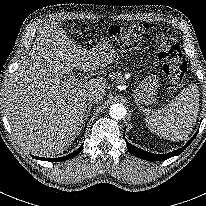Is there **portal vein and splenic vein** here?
I'll return each mask as SVG.
<instances>
[{
    "mask_svg": "<svg viewBox=\"0 0 206 206\" xmlns=\"http://www.w3.org/2000/svg\"><path fill=\"white\" fill-rule=\"evenodd\" d=\"M64 83L66 85H77V84L81 83V80L76 78V76H70L68 79H65Z\"/></svg>",
    "mask_w": 206,
    "mask_h": 206,
    "instance_id": "18ae733b",
    "label": "portal vein and splenic vein"
}]
</instances>
